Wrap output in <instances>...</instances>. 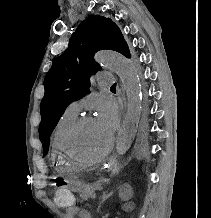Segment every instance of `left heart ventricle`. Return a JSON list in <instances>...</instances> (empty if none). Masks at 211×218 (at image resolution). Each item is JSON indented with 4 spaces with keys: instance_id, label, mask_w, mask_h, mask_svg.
Segmentation results:
<instances>
[{
    "instance_id": "1",
    "label": "left heart ventricle",
    "mask_w": 211,
    "mask_h": 218,
    "mask_svg": "<svg viewBox=\"0 0 211 218\" xmlns=\"http://www.w3.org/2000/svg\"><path fill=\"white\" fill-rule=\"evenodd\" d=\"M111 139L112 135L104 131L95 119H92L77 131L73 142L74 155L79 157L96 155L109 146Z\"/></svg>"
}]
</instances>
